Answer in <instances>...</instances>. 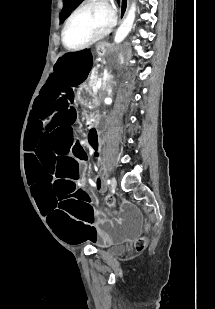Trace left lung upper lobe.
I'll return each instance as SVG.
<instances>
[{"instance_id": "5c2ea615", "label": "left lung upper lobe", "mask_w": 215, "mask_h": 309, "mask_svg": "<svg viewBox=\"0 0 215 309\" xmlns=\"http://www.w3.org/2000/svg\"><path fill=\"white\" fill-rule=\"evenodd\" d=\"M64 1V7L61 12V21H63L69 12L82 0H63Z\"/></svg>"}]
</instances>
